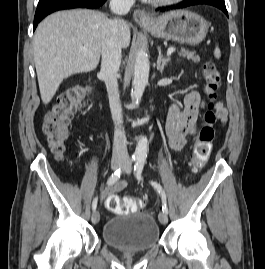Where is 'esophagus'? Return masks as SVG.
Instances as JSON below:
<instances>
[{"mask_svg": "<svg viewBox=\"0 0 265 269\" xmlns=\"http://www.w3.org/2000/svg\"><path fill=\"white\" fill-rule=\"evenodd\" d=\"M133 18L137 23H150L152 21L151 16L144 10L137 9L133 13Z\"/></svg>", "mask_w": 265, "mask_h": 269, "instance_id": "1", "label": "esophagus"}]
</instances>
